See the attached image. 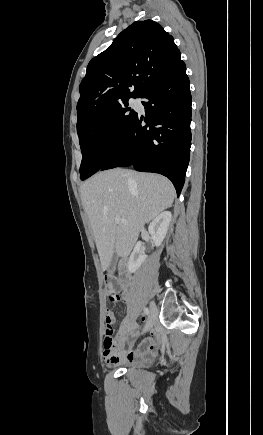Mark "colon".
<instances>
[{"instance_id":"1","label":"colon","mask_w":263,"mask_h":435,"mask_svg":"<svg viewBox=\"0 0 263 435\" xmlns=\"http://www.w3.org/2000/svg\"><path fill=\"white\" fill-rule=\"evenodd\" d=\"M105 283L109 289V299L112 302H120L121 296L116 291V283L115 280L112 277L105 278ZM106 321V331H105V337H104V343L103 348L105 350H114L115 343L113 338V330H112V322L109 317H107Z\"/></svg>"}]
</instances>
